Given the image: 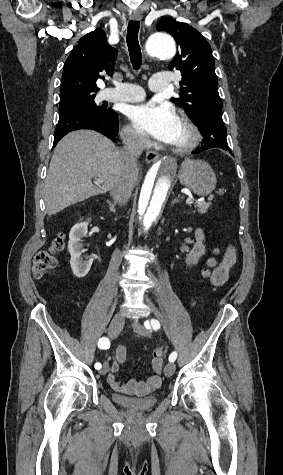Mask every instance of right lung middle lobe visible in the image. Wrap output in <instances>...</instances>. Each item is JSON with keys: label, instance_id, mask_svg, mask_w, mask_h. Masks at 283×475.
Here are the masks:
<instances>
[{"label": "right lung middle lobe", "instance_id": "right-lung-middle-lobe-1", "mask_svg": "<svg viewBox=\"0 0 283 475\" xmlns=\"http://www.w3.org/2000/svg\"><path fill=\"white\" fill-rule=\"evenodd\" d=\"M95 93L81 91H65L60 93L59 113L71 109H84L94 113L99 117H106L111 114V109L96 105Z\"/></svg>", "mask_w": 283, "mask_h": 475}]
</instances>
